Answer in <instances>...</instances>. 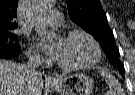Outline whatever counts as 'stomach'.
<instances>
[{
	"label": "stomach",
	"instance_id": "stomach-1",
	"mask_svg": "<svg viewBox=\"0 0 135 95\" xmlns=\"http://www.w3.org/2000/svg\"><path fill=\"white\" fill-rule=\"evenodd\" d=\"M59 95H90L93 91V81L83 73H74L60 77L50 84Z\"/></svg>",
	"mask_w": 135,
	"mask_h": 95
}]
</instances>
